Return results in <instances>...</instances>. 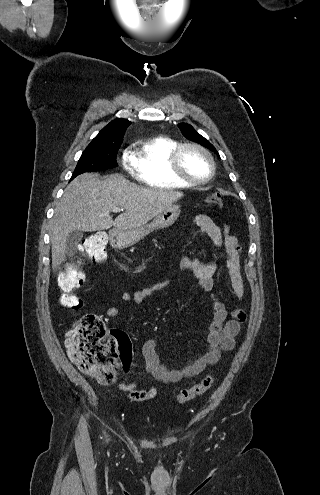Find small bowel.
<instances>
[{
	"mask_svg": "<svg viewBox=\"0 0 320 495\" xmlns=\"http://www.w3.org/2000/svg\"><path fill=\"white\" fill-rule=\"evenodd\" d=\"M193 222L201 228L211 239L214 246L223 249L225 253L224 265L228 270L231 286L239 301L246 295V286L241 274V247L238 239L230 233L226 225L217 224L213 218L207 215H197ZM182 272L192 276L199 286L211 293L213 300V314L206 337V349L204 353L188 362L180 369H169L162 363L156 351L159 336L148 339L142 348L145 362V370L154 379L163 383H175L186 378L200 374L208 365L217 363L222 351L232 350L235 346V337L240 333L241 325L246 319L245 312L241 309L228 310L214 293V275L217 271L216 261L202 262L199 258H183L179 264ZM167 281L163 283L146 286L136 292H124L122 301L140 305L144 300L155 294ZM112 319L119 317V310L111 307L106 312ZM128 364H123L126 371ZM118 388L123 391L132 392L137 389L136 383H118ZM157 389L152 387L147 390V398L156 395Z\"/></svg>",
	"mask_w": 320,
	"mask_h": 495,
	"instance_id": "small-bowel-1",
	"label": "small bowel"
}]
</instances>
